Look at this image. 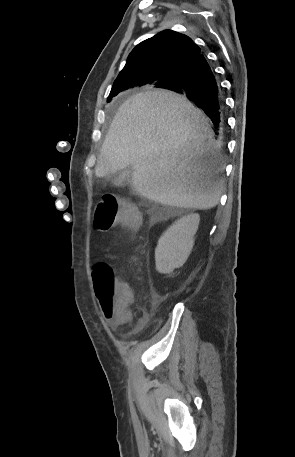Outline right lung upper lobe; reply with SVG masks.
<instances>
[{"mask_svg": "<svg viewBox=\"0 0 295 457\" xmlns=\"http://www.w3.org/2000/svg\"><path fill=\"white\" fill-rule=\"evenodd\" d=\"M199 55L201 49L188 36L162 31L131 51L112 90L121 92L133 84L160 86L176 79L183 67Z\"/></svg>", "mask_w": 295, "mask_h": 457, "instance_id": "1", "label": "right lung upper lobe"}]
</instances>
